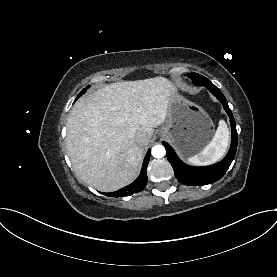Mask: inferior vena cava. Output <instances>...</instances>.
Segmentation results:
<instances>
[{"label": "inferior vena cava", "instance_id": "obj_1", "mask_svg": "<svg viewBox=\"0 0 277 277\" xmlns=\"http://www.w3.org/2000/svg\"><path fill=\"white\" fill-rule=\"evenodd\" d=\"M135 141L139 144V145H144L148 142V136L146 135V133L144 132H138L135 135Z\"/></svg>", "mask_w": 277, "mask_h": 277}]
</instances>
